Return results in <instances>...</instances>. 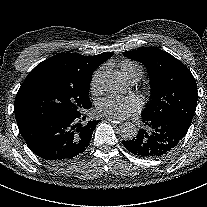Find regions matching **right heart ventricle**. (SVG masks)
Returning <instances> with one entry per match:
<instances>
[{
  "label": "right heart ventricle",
  "instance_id": "1",
  "mask_svg": "<svg viewBox=\"0 0 207 207\" xmlns=\"http://www.w3.org/2000/svg\"><path fill=\"white\" fill-rule=\"evenodd\" d=\"M120 67H121V71L123 72L126 78L131 73L137 72V71L140 72V75H141V69L131 62H123L121 63Z\"/></svg>",
  "mask_w": 207,
  "mask_h": 207
}]
</instances>
